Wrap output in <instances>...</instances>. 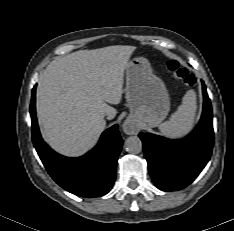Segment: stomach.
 I'll return each instance as SVG.
<instances>
[{
	"mask_svg": "<svg viewBox=\"0 0 234 231\" xmlns=\"http://www.w3.org/2000/svg\"><path fill=\"white\" fill-rule=\"evenodd\" d=\"M125 75V98L130 118L146 126H158L170 110L165 85L153 74L149 61L144 57L129 60Z\"/></svg>",
	"mask_w": 234,
	"mask_h": 231,
	"instance_id": "obj_1",
	"label": "stomach"
}]
</instances>
